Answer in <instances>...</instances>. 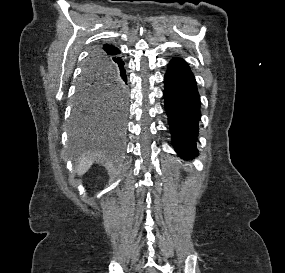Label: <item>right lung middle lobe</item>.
I'll return each mask as SVG.
<instances>
[{
    "label": "right lung middle lobe",
    "mask_w": 285,
    "mask_h": 273,
    "mask_svg": "<svg viewBox=\"0 0 285 273\" xmlns=\"http://www.w3.org/2000/svg\"><path fill=\"white\" fill-rule=\"evenodd\" d=\"M95 49L87 61L77 84L73 110V126L83 128L89 114L106 97L123 95L125 85L117 78L110 58ZM123 117V111L119 113Z\"/></svg>",
    "instance_id": "obj_1"
}]
</instances>
